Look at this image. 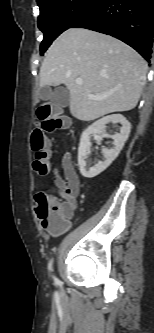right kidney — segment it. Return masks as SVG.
Returning <instances> with one entry per match:
<instances>
[{
    "instance_id": "ca27d5eb",
    "label": "right kidney",
    "mask_w": 154,
    "mask_h": 333,
    "mask_svg": "<svg viewBox=\"0 0 154 333\" xmlns=\"http://www.w3.org/2000/svg\"><path fill=\"white\" fill-rule=\"evenodd\" d=\"M108 123H120L122 125L120 133L108 135L105 132ZM131 130V124L121 114L108 115L101 118L90 125L81 135L80 144L78 148V165L82 176L86 178H93L107 169L111 163L118 157L125 142L127 141ZM92 134H101L102 137H110L114 140V147L111 149H102L104 156L103 161H98L94 166H89L86 159L90 153L91 143L90 136Z\"/></svg>"
}]
</instances>
